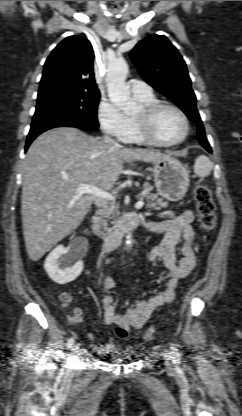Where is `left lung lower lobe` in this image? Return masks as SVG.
Instances as JSON below:
<instances>
[{
	"instance_id": "obj_1",
	"label": "left lung lower lobe",
	"mask_w": 242,
	"mask_h": 416,
	"mask_svg": "<svg viewBox=\"0 0 242 416\" xmlns=\"http://www.w3.org/2000/svg\"><path fill=\"white\" fill-rule=\"evenodd\" d=\"M202 145L209 153H212V150H211V147H210L208 141L203 143Z\"/></svg>"
}]
</instances>
